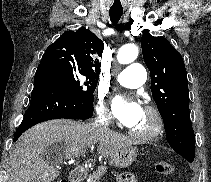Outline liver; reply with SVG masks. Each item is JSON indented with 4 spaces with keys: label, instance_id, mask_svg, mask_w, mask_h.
Here are the masks:
<instances>
[{
    "label": "liver",
    "instance_id": "liver-1",
    "mask_svg": "<svg viewBox=\"0 0 211 182\" xmlns=\"http://www.w3.org/2000/svg\"><path fill=\"white\" fill-rule=\"evenodd\" d=\"M63 145L60 160L45 158L46 149L53 144ZM95 143L97 152L111 158L124 147L135 144L129 136L73 120H52L37 124L21 135L10 157L8 182H52L59 171L56 165L72 154Z\"/></svg>",
    "mask_w": 211,
    "mask_h": 182
}]
</instances>
